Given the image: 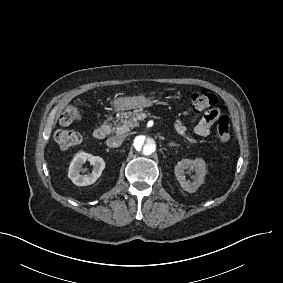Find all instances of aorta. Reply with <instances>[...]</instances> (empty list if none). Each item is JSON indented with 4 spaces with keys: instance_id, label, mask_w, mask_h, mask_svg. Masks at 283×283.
Returning a JSON list of instances; mask_svg holds the SVG:
<instances>
[{
    "instance_id": "obj_1",
    "label": "aorta",
    "mask_w": 283,
    "mask_h": 283,
    "mask_svg": "<svg viewBox=\"0 0 283 283\" xmlns=\"http://www.w3.org/2000/svg\"><path fill=\"white\" fill-rule=\"evenodd\" d=\"M158 146V140L152 134L138 133L132 139L131 152L140 159H149L155 157Z\"/></svg>"
}]
</instances>
